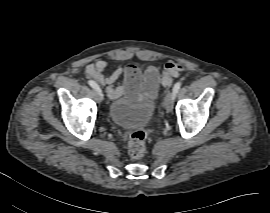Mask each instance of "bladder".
I'll return each mask as SVG.
<instances>
[{
	"label": "bladder",
	"mask_w": 270,
	"mask_h": 213,
	"mask_svg": "<svg viewBox=\"0 0 270 213\" xmlns=\"http://www.w3.org/2000/svg\"><path fill=\"white\" fill-rule=\"evenodd\" d=\"M153 114L152 100L134 103L125 95L113 100L107 106V117L110 122L124 130H139L149 125Z\"/></svg>",
	"instance_id": "31cf9c89"
}]
</instances>
